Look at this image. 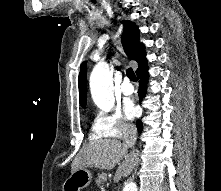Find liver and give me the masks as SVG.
I'll return each instance as SVG.
<instances>
[{
  "mask_svg": "<svg viewBox=\"0 0 221 191\" xmlns=\"http://www.w3.org/2000/svg\"><path fill=\"white\" fill-rule=\"evenodd\" d=\"M136 163L137 156L128 153L125 143L101 139L88 143L79 151L71 165V172L88 167L111 170L118 164L114 176V181L118 182L122 177L131 174Z\"/></svg>",
  "mask_w": 221,
  "mask_h": 191,
  "instance_id": "1",
  "label": "liver"
}]
</instances>
